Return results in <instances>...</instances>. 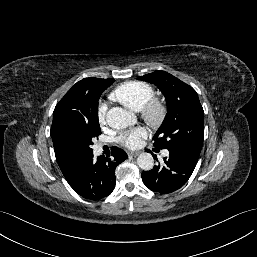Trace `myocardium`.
<instances>
[{
    "instance_id": "1",
    "label": "myocardium",
    "mask_w": 257,
    "mask_h": 257,
    "mask_svg": "<svg viewBox=\"0 0 257 257\" xmlns=\"http://www.w3.org/2000/svg\"><path fill=\"white\" fill-rule=\"evenodd\" d=\"M167 105L159 98L152 97L141 109L142 117L153 127H159L167 116Z\"/></svg>"
}]
</instances>
